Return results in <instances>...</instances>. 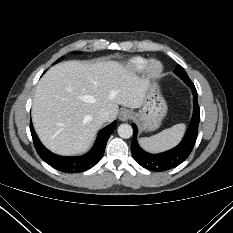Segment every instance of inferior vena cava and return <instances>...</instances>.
<instances>
[{"label":"inferior vena cava","mask_w":233,"mask_h":233,"mask_svg":"<svg viewBox=\"0 0 233 233\" xmlns=\"http://www.w3.org/2000/svg\"><path fill=\"white\" fill-rule=\"evenodd\" d=\"M97 119L102 123L107 122L109 120V112L105 109L99 110L97 113Z\"/></svg>","instance_id":"inferior-vena-cava-1"}]
</instances>
